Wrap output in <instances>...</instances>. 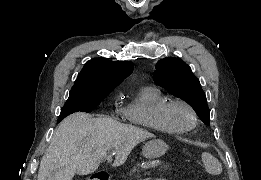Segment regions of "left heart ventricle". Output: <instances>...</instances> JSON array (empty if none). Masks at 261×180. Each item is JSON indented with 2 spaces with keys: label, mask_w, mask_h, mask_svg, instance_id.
I'll return each instance as SVG.
<instances>
[{
  "label": "left heart ventricle",
  "mask_w": 261,
  "mask_h": 180,
  "mask_svg": "<svg viewBox=\"0 0 261 180\" xmlns=\"http://www.w3.org/2000/svg\"><path fill=\"white\" fill-rule=\"evenodd\" d=\"M166 115L176 124H185L188 122V113L181 107H172L168 109Z\"/></svg>",
  "instance_id": "obj_1"
}]
</instances>
